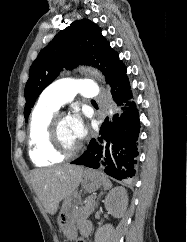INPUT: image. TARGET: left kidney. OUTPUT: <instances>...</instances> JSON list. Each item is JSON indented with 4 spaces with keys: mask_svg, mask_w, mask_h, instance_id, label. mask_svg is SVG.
Wrapping results in <instances>:
<instances>
[{
    "mask_svg": "<svg viewBox=\"0 0 187 242\" xmlns=\"http://www.w3.org/2000/svg\"><path fill=\"white\" fill-rule=\"evenodd\" d=\"M106 210L116 218L123 216L128 205L127 191L124 187H115L105 197ZM113 230L112 225H105L97 229L95 242H105L109 233Z\"/></svg>",
    "mask_w": 187,
    "mask_h": 242,
    "instance_id": "5707ae66",
    "label": "left kidney"
}]
</instances>
